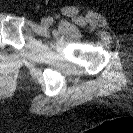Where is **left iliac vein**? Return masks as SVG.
I'll return each mask as SVG.
<instances>
[{"mask_svg": "<svg viewBox=\"0 0 133 133\" xmlns=\"http://www.w3.org/2000/svg\"><path fill=\"white\" fill-rule=\"evenodd\" d=\"M41 22H42L43 26H49L50 25L49 18H43Z\"/></svg>", "mask_w": 133, "mask_h": 133, "instance_id": "1", "label": "left iliac vein"}]
</instances>
